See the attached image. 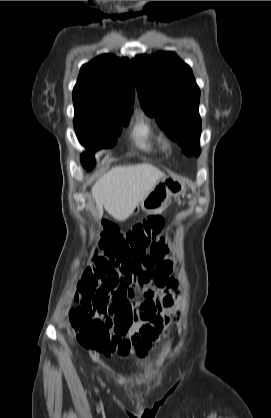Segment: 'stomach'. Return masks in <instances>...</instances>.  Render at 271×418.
<instances>
[{"mask_svg":"<svg viewBox=\"0 0 271 418\" xmlns=\"http://www.w3.org/2000/svg\"><path fill=\"white\" fill-rule=\"evenodd\" d=\"M185 184L170 177H163L158 180L145 198L133 209L130 216H133L141 209L146 213H155L163 210L172 197H178L185 192Z\"/></svg>","mask_w":271,"mask_h":418,"instance_id":"0dacf381","label":"stomach"}]
</instances>
